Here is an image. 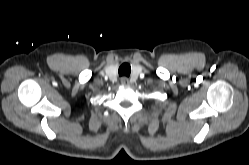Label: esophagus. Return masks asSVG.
I'll use <instances>...</instances> for the list:
<instances>
[{
  "label": "esophagus",
  "instance_id": "34e87169",
  "mask_svg": "<svg viewBox=\"0 0 249 165\" xmlns=\"http://www.w3.org/2000/svg\"><path fill=\"white\" fill-rule=\"evenodd\" d=\"M120 81H121L122 85H128L129 84V79L127 77H122Z\"/></svg>",
  "mask_w": 249,
  "mask_h": 165
}]
</instances>
